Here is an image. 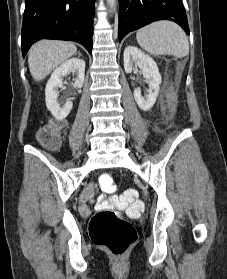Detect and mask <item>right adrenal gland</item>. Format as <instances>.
I'll return each mask as SVG.
<instances>
[{"mask_svg": "<svg viewBox=\"0 0 227 279\" xmlns=\"http://www.w3.org/2000/svg\"><path fill=\"white\" fill-rule=\"evenodd\" d=\"M78 54H79V56H81V53H80V52H78Z\"/></svg>", "mask_w": 227, "mask_h": 279, "instance_id": "right-adrenal-gland-1", "label": "right adrenal gland"}]
</instances>
